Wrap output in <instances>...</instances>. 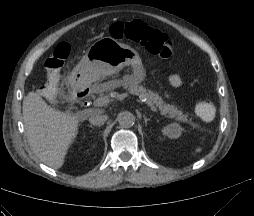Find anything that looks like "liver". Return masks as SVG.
Listing matches in <instances>:
<instances>
[{
  "label": "liver",
  "instance_id": "6515ba94",
  "mask_svg": "<svg viewBox=\"0 0 254 216\" xmlns=\"http://www.w3.org/2000/svg\"><path fill=\"white\" fill-rule=\"evenodd\" d=\"M22 112L32 151L46 165L61 168L84 119L82 114L56 110L34 92L24 97Z\"/></svg>",
  "mask_w": 254,
  "mask_h": 216
}]
</instances>
